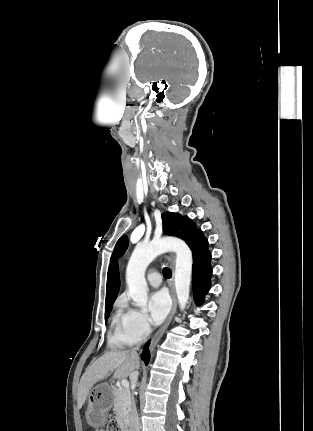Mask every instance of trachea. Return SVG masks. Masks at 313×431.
Returning a JSON list of instances; mask_svg holds the SVG:
<instances>
[{"instance_id":"obj_1","label":"trachea","mask_w":313,"mask_h":431,"mask_svg":"<svg viewBox=\"0 0 313 431\" xmlns=\"http://www.w3.org/2000/svg\"><path fill=\"white\" fill-rule=\"evenodd\" d=\"M163 275L165 278H170L172 276V272L169 268H164L163 269Z\"/></svg>"}]
</instances>
